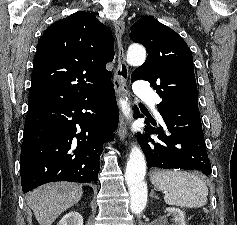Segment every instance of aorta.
Masks as SVG:
<instances>
[{
  "label": "aorta",
  "mask_w": 237,
  "mask_h": 225,
  "mask_svg": "<svg viewBox=\"0 0 237 225\" xmlns=\"http://www.w3.org/2000/svg\"><path fill=\"white\" fill-rule=\"evenodd\" d=\"M146 59V50L144 47L132 44L127 51V62L131 65H141ZM119 105L123 115L132 119V112L127 100L120 99ZM146 174V160L143 152L137 144H133L129 159L126 165L125 181L129 188L131 210L139 213L147 201V185L144 182Z\"/></svg>",
  "instance_id": "762f6f07"
}]
</instances>
